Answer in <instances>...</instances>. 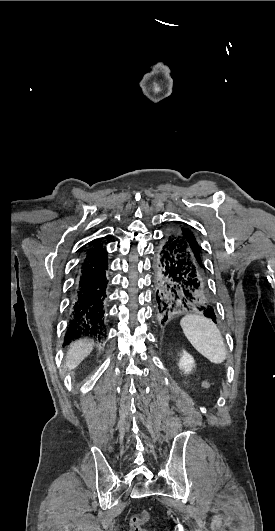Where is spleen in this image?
I'll return each instance as SVG.
<instances>
[{"label": "spleen", "instance_id": "1", "mask_svg": "<svg viewBox=\"0 0 275 531\" xmlns=\"http://www.w3.org/2000/svg\"><path fill=\"white\" fill-rule=\"evenodd\" d=\"M181 329L194 349L211 363L220 365L226 359L222 335L212 319L202 315H185L180 321Z\"/></svg>", "mask_w": 275, "mask_h": 531}]
</instances>
